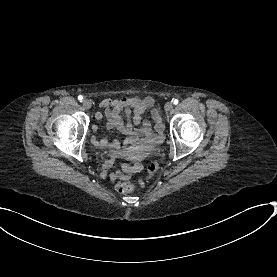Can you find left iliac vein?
Returning <instances> with one entry per match:
<instances>
[{
  "label": "left iliac vein",
  "mask_w": 277,
  "mask_h": 277,
  "mask_svg": "<svg viewBox=\"0 0 277 277\" xmlns=\"http://www.w3.org/2000/svg\"><path fill=\"white\" fill-rule=\"evenodd\" d=\"M173 109V103L172 102H167L165 104V110L166 111H171Z\"/></svg>",
  "instance_id": "left-iliac-vein-1"
}]
</instances>
